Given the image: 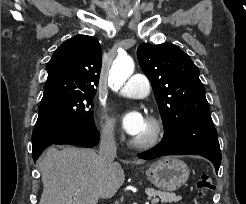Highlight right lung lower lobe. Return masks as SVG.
<instances>
[{"instance_id":"98d812e1","label":"right lung lower lobe","mask_w":246,"mask_h":204,"mask_svg":"<svg viewBox=\"0 0 246 204\" xmlns=\"http://www.w3.org/2000/svg\"><path fill=\"white\" fill-rule=\"evenodd\" d=\"M99 132L94 125L69 127H35L32 135V156L36 161L45 148L53 144H72L82 147L97 145Z\"/></svg>"}]
</instances>
